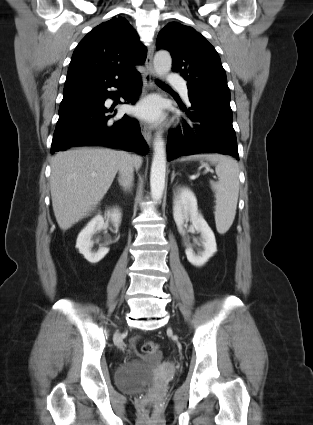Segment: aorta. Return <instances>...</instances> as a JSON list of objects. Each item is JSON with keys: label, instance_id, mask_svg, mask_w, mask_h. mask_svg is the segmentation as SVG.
<instances>
[{"label": "aorta", "instance_id": "obj_1", "mask_svg": "<svg viewBox=\"0 0 313 425\" xmlns=\"http://www.w3.org/2000/svg\"><path fill=\"white\" fill-rule=\"evenodd\" d=\"M154 70L159 76H165L171 70L172 58L168 51H158L154 56ZM166 150L161 134L154 138V154L150 172V188L154 200L162 198L165 188Z\"/></svg>", "mask_w": 313, "mask_h": 425}]
</instances>
